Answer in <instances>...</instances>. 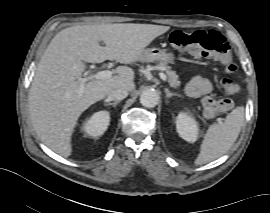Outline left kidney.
Wrapping results in <instances>:
<instances>
[{"mask_svg":"<svg viewBox=\"0 0 270 213\" xmlns=\"http://www.w3.org/2000/svg\"><path fill=\"white\" fill-rule=\"evenodd\" d=\"M176 130L181 138L187 142H195L198 138L199 128L197 121L187 113H179L176 118Z\"/></svg>","mask_w":270,"mask_h":213,"instance_id":"5707ae66","label":"left kidney"}]
</instances>
